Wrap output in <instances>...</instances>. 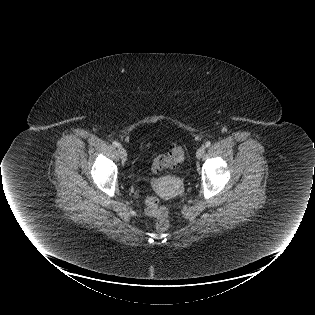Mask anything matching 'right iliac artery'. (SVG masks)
I'll list each match as a JSON object with an SVG mask.
<instances>
[{"label": "right iliac artery", "mask_w": 315, "mask_h": 315, "mask_svg": "<svg viewBox=\"0 0 315 315\" xmlns=\"http://www.w3.org/2000/svg\"><path fill=\"white\" fill-rule=\"evenodd\" d=\"M113 146H115V147H121V144L118 143V142H116V141H114V142H113Z\"/></svg>", "instance_id": "1"}]
</instances>
